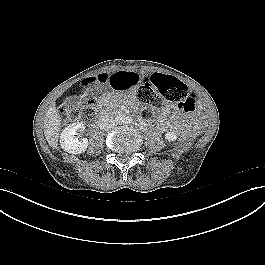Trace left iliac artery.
<instances>
[{"label":"left iliac artery","instance_id":"44dca946","mask_svg":"<svg viewBox=\"0 0 265 265\" xmlns=\"http://www.w3.org/2000/svg\"><path fill=\"white\" fill-rule=\"evenodd\" d=\"M122 122L125 124H130V123H133V119L131 117L127 116L123 119Z\"/></svg>","mask_w":265,"mask_h":265}]
</instances>
